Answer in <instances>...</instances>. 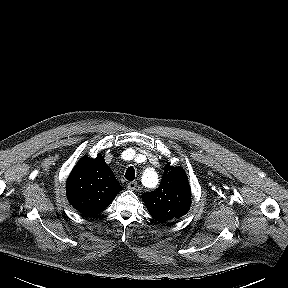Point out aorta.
<instances>
[{"mask_svg": "<svg viewBox=\"0 0 288 288\" xmlns=\"http://www.w3.org/2000/svg\"><path fill=\"white\" fill-rule=\"evenodd\" d=\"M142 180L147 187L151 188L156 187L159 182L158 175L151 169L144 172Z\"/></svg>", "mask_w": 288, "mask_h": 288, "instance_id": "aorta-1", "label": "aorta"}]
</instances>
